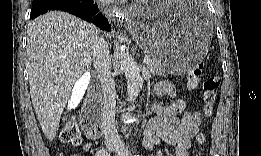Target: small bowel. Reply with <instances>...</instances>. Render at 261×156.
Here are the masks:
<instances>
[{
  "label": "small bowel",
  "mask_w": 261,
  "mask_h": 156,
  "mask_svg": "<svg viewBox=\"0 0 261 156\" xmlns=\"http://www.w3.org/2000/svg\"><path fill=\"white\" fill-rule=\"evenodd\" d=\"M155 92L174 100L169 106L153 105L155 116L148 123L147 144L174 145L176 156H187L191 139L198 133L201 116L198 112H184L185 103L176 99V91L169 82L158 83ZM90 147L86 144L84 150L88 151Z\"/></svg>",
  "instance_id": "1"
}]
</instances>
